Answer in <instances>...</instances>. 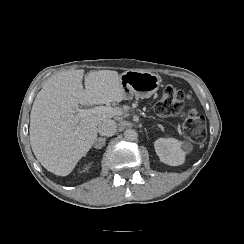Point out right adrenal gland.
Listing matches in <instances>:
<instances>
[{"label": "right adrenal gland", "mask_w": 244, "mask_h": 244, "mask_svg": "<svg viewBox=\"0 0 244 244\" xmlns=\"http://www.w3.org/2000/svg\"><path fill=\"white\" fill-rule=\"evenodd\" d=\"M102 139L103 141H106V138H96V141Z\"/></svg>", "instance_id": "right-adrenal-gland-1"}]
</instances>
